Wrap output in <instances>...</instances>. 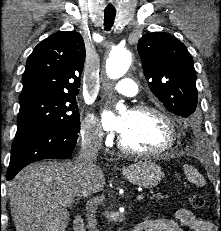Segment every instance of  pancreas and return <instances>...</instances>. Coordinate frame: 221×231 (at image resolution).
<instances>
[{
	"instance_id": "pancreas-1",
	"label": "pancreas",
	"mask_w": 221,
	"mask_h": 231,
	"mask_svg": "<svg viewBox=\"0 0 221 231\" xmlns=\"http://www.w3.org/2000/svg\"><path fill=\"white\" fill-rule=\"evenodd\" d=\"M164 198H165V196H162V195H160L159 193L153 195V197H152V199H164Z\"/></svg>"
}]
</instances>
